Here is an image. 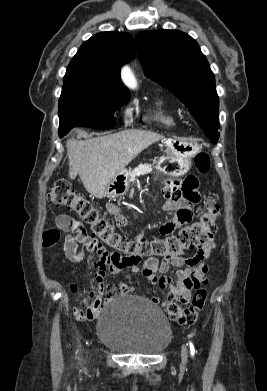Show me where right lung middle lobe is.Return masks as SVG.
<instances>
[{
	"label": "right lung middle lobe",
	"instance_id": "right-lung-middle-lobe-1",
	"mask_svg": "<svg viewBox=\"0 0 267 391\" xmlns=\"http://www.w3.org/2000/svg\"><path fill=\"white\" fill-rule=\"evenodd\" d=\"M59 99V135L75 126L108 129L116 124L114 113L130 99L129 91L109 87L98 80H64Z\"/></svg>",
	"mask_w": 267,
	"mask_h": 391
}]
</instances>
